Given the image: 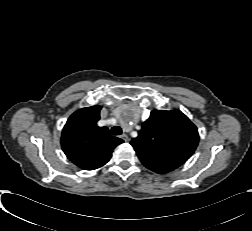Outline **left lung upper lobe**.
<instances>
[{
	"label": "left lung upper lobe",
	"mask_w": 252,
	"mask_h": 231,
	"mask_svg": "<svg viewBox=\"0 0 252 231\" xmlns=\"http://www.w3.org/2000/svg\"><path fill=\"white\" fill-rule=\"evenodd\" d=\"M198 142L196 126L180 110H154L131 145L145 166H180L194 153Z\"/></svg>",
	"instance_id": "left-lung-upper-lobe-1"
}]
</instances>
